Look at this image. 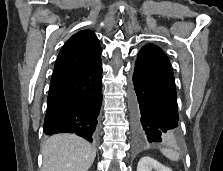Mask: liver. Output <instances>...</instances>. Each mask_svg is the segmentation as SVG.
Masks as SVG:
<instances>
[{
    "label": "liver",
    "mask_w": 223,
    "mask_h": 171,
    "mask_svg": "<svg viewBox=\"0 0 223 171\" xmlns=\"http://www.w3.org/2000/svg\"><path fill=\"white\" fill-rule=\"evenodd\" d=\"M42 171H87L96 157L89 142L73 134H57L41 147Z\"/></svg>",
    "instance_id": "obj_1"
}]
</instances>
